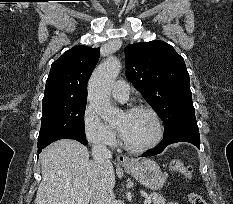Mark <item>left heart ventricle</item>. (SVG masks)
Returning a JSON list of instances; mask_svg holds the SVG:
<instances>
[{
  "instance_id": "b2bd125f",
  "label": "left heart ventricle",
  "mask_w": 233,
  "mask_h": 204,
  "mask_svg": "<svg viewBox=\"0 0 233 204\" xmlns=\"http://www.w3.org/2000/svg\"><path fill=\"white\" fill-rule=\"evenodd\" d=\"M125 140L134 146L149 143L156 134L153 118L146 112H123L115 123Z\"/></svg>"
}]
</instances>
